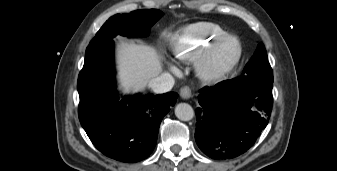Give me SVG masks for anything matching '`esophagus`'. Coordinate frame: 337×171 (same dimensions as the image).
Segmentation results:
<instances>
[{
	"instance_id": "esophagus-1",
	"label": "esophagus",
	"mask_w": 337,
	"mask_h": 171,
	"mask_svg": "<svg viewBox=\"0 0 337 171\" xmlns=\"http://www.w3.org/2000/svg\"><path fill=\"white\" fill-rule=\"evenodd\" d=\"M192 95L191 89L188 86H184L180 89V96L183 99H189Z\"/></svg>"
}]
</instances>
